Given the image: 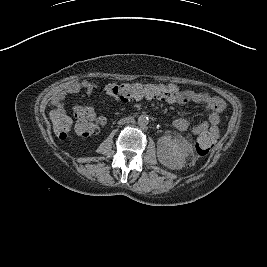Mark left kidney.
I'll return each instance as SVG.
<instances>
[{
  "label": "left kidney",
  "instance_id": "5707ae66",
  "mask_svg": "<svg viewBox=\"0 0 267 267\" xmlns=\"http://www.w3.org/2000/svg\"><path fill=\"white\" fill-rule=\"evenodd\" d=\"M157 157L163 166L180 170L186 164L187 154L171 137L162 136L157 141Z\"/></svg>",
  "mask_w": 267,
  "mask_h": 267
}]
</instances>
